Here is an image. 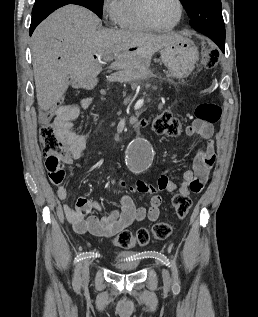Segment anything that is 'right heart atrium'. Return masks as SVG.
I'll return each instance as SVG.
<instances>
[{"label":"right heart atrium","mask_w":258,"mask_h":317,"mask_svg":"<svg viewBox=\"0 0 258 317\" xmlns=\"http://www.w3.org/2000/svg\"><path fill=\"white\" fill-rule=\"evenodd\" d=\"M104 21L113 28L119 25L120 4L119 0H104L101 5Z\"/></svg>","instance_id":"right-heart-atrium-1"}]
</instances>
